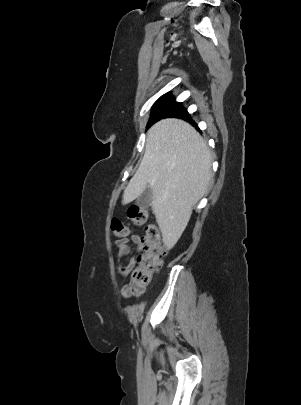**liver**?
I'll return each instance as SVG.
<instances>
[{"label":"liver","mask_w":301,"mask_h":405,"mask_svg":"<svg viewBox=\"0 0 301 405\" xmlns=\"http://www.w3.org/2000/svg\"><path fill=\"white\" fill-rule=\"evenodd\" d=\"M211 164L207 142L189 123L161 120L147 132L143 159L124 190L122 204H129L149 187L153 214L164 244L171 249L207 191Z\"/></svg>","instance_id":"liver-1"}]
</instances>
